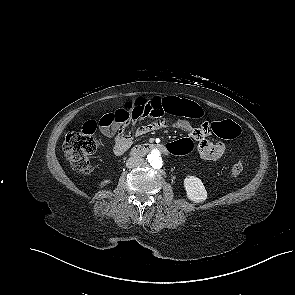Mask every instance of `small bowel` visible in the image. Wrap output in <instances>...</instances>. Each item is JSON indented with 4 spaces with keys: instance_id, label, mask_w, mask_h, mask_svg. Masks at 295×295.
Returning <instances> with one entry per match:
<instances>
[{
    "instance_id": "small-bowel-1",
    "label": "small bowel",
    "mask_w": 295,
    "mask_h": 295,
    "mask_svg": "<svg viewBox=\"0 0 295 295\" xmlns=\"http://www.w3.org/2000/svg\"><path fill=\"white\" fill-rule=\"evenodd\" d=\"M173 99L176 97L152 99L139 98L135 102L122 106L114 112L103 115L99 120L101 133L113 138V152L116 155L124 154L132 145L135 137H141L160 128H168L170 121L162 119L165 114H174L171 109ZM148 119L149 121L139 125L132 132H126L128 124H135ZM177 128L186 131L192 139L198 142V153L201 159L216 161L225 152V146L221 142H212L208 139L211 134V124L204 122L199 127H194L185 119L176 120Z\"/></svg>"
}]
</instances>
